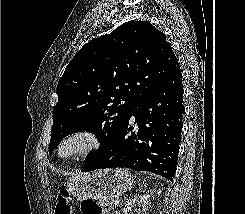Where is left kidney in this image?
<instances>
[{"mask_svg":"<svg viewBox=\"0 0 245 214\" xmlns=\"http://www.w3.org/2000/svg\"><path fill=\"white\" fill-rule=\"evenodd\" d=\"M136 204L139 205V208L136 211L137 214H147L148 197L146 195H140V196L134 197V199H132L131 201L127 203V205H125L126 210H131L133 206H135Z\"/></svg>","mask_w":245,"mask_h":214,"instance_id":"obj_1","label":"left kidney"}]
</instances>
